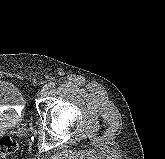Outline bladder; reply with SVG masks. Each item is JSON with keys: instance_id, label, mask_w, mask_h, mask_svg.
<instances>
[{"instance_id": "31cf9c89", "label": "bladder", "mask_w": 165, "mask_h": 159, "mask_svg": "<svg viewBox=\"0 0 165 159\" xmlns=\"http://www.w3.org/2000/svg\"><path fill=\"white\" fill-rule=\"evenodd\" d=\"M24 104L25 98L21 90L11 82L0 80V107H9L11 113L17 117ZM8 116V112H0V122H3Z\"/></svg>"}]
</instances>
